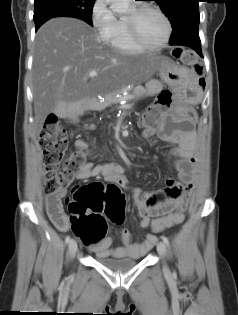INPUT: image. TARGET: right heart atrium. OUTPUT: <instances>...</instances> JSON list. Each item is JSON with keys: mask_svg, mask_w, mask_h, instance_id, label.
Wrapping results in <instances>:
<instances>
[{"mask_svg": "<svg viewBox=\"0 0 238 315\" xmlns=\"http://www.w3.org/2000/svg\"><path fill=\"white\" fill-rule=\"evenodd\" d=\"M90 20L98 35L107 39L116 23V17L106 0H94L90 9Z\"/></svg>", "mask_w": 238, "mask_h": 315, "instance_id": "obj_1", "label": "right heart atrium"}]
</instances>
